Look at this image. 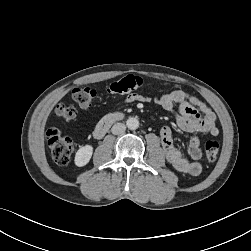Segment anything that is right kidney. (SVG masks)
<instances>
[{
  "mask_svg": "<svg viewBox=\"0 0 251 251\" xmlns=\"http://www.w3.org/2000/svg\"><path fill=\"white\" fill-rule=\"evenodd\" d=\"M93 154V147L85 145L78 149L75 155V165L78 167L85 166L91 159Z\"/></svg>",
  "mask_w": 251,
  "mask_h": 251,
  "instance_id": "1",
  "label": "right kidney"
}]
</instances>
